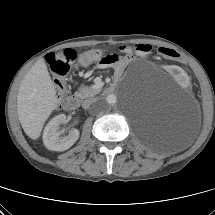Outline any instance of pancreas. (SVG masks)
<instances>
[{"instance_id":"obj_1","label":"pancreas","mask_w":215,"mask_h":215,"mask_svg":"<svg viewBox=\"0 0 215 215\" xmlns=\"http://www.w3.org/2000/svg\"><path fill=\"white\" fill-rule=\"evenodd\" d=\"M102 87L100 85L84 86L79 89L75 95L81 99L93 97L94 95L101 92Z\"/></svg>"}]
</instances>
